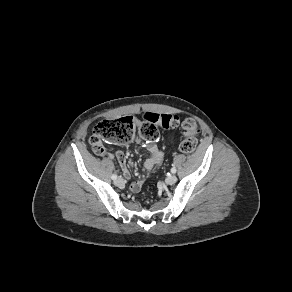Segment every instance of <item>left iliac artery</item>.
I'll list each match as a JSON object with an SVG mask.
<instances>
[{"instance_id": "1", "label": "left iliac artery", "mask_w": 292, "mask_h": 292, "mask_svg": "<svg viewBox=\"0 0 292 292\" xmlns=\"http://www.w3.org/2000/svg\"><path fill=\"white\" fill-rule=\"evenodd\" d=\"M171 173H176V169L175 168H171Z\"/></svg>"}]
</instances>
